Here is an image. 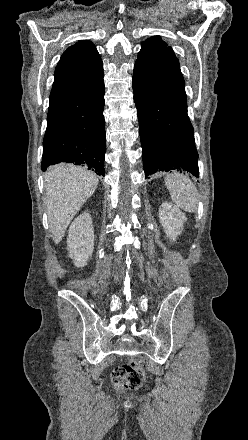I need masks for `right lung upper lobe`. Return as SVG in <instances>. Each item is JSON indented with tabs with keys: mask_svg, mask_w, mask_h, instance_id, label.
<instances>
[{
	"mask_svg": "<svg viewBox=\"0 0 248 440\" xmlns=\"http://www.w3.org/2000/svg\"><path fill=\"white\" fill-rule=\"evenodd\" d=\"M50 99L95 87L103 80L99 53L90 41H79L61 56L55 70Z\"/></svg>",
	"mask_w": 248,
	"mask_h": 440,
	"instance_id": "right-lung-upper-lobe-1",
	"label": "right lung upper lobe"
}]
</instances>
